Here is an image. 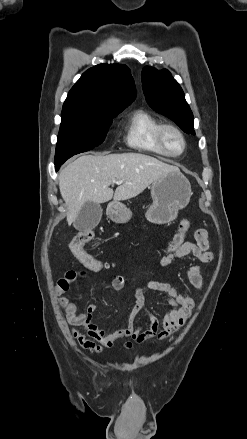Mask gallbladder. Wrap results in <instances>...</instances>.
I'll return each mask as SVG.
<instances>
[{"instance_id": "1", "label": "gallbladder", "mask_w": 247, "mask_h": 439, "mask_svg": "<svg viewBox=\"0 0 247 439\" xmlns=\"http://www.w3.org/2000/svg\"><path fill=\"white\" fill-rule=\"evenodd\" d=\"M101 217V205L88 201L82 206L73 225L77 230H91L98 225Z\"/></svg>"}]
</instances>
